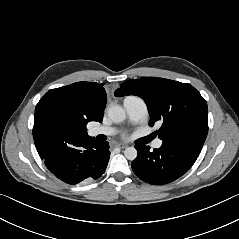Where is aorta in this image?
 I'll use <instances>...</instances> for the list:
<instances>
[{"label": "aorta", "instance_id": "762f6f07", "mask_svg": "<svg viewBox=\"0 0 239 239\" xmlns=\"http://www.w3.org/2000/svg\"><path fill=\"white\" fill-rule=\"evenodd\" d=\"M107 112L109 118L116 123L122 122L126 117L125 110L119 105H111ZM124 155L128 160L133 161L137 157V150L134 147H127Z\"/></svg>", "mask_w": 239, "mask_h": 239}]
</instances>
